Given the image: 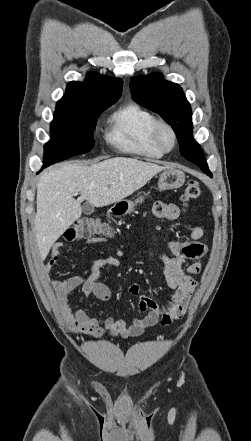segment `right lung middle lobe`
<instances>
[{
  "mask_svg": "<svg viewBox=\"0 0 251 441\" xmlns=\"http://www.w3.org/2000/svg\"><path fill=\"white\" fill-rule=\"evenodd\" d=\"M116 101L90 99L77 108L55 111L51 122V139L45 144L46 166L89 152L94 147L93 131L102 111Z\"/></svg>",
  "mask_w": 251,
  "mask_h": 441,
  "instance_id": "1",
  "label": "right lung middle lobe"
}]
</instances>
